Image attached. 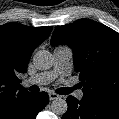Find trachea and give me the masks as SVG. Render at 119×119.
Here are the masks:
<instances>
[{"mask_svg":"<svg viewBox=\"0 0 119 119\" xmlns=\"http://www.w3.org/2000/svg\"><path fill=\"white\" fill-rule=\"evenodd\" d=\"M76 87H73V88H69V87H66V88H59L56 92L58 93V94H69V93H71L74 89H75ZM29 90L31 91V92H38L39 91V88H38V86H36V85H33V86H31L30 88H29Z\"/></svg>","mask_w":119,"mask_h":119,"instance_id":"1","label":"trachea"}]
</instances>
